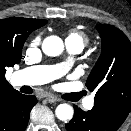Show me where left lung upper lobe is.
Instances as JSON below:
<instances>
[{
    "label": "left lung upper lobe",
    "instance_id": "5c2ea615",
    "mask_svg": "<svg viewBox=\"0 0 131 131\" xmlns=\"http://www.w3.org/2000/svg\"><path fill=\"white\" fill-rule=\"evenodd\" d=\"M96 27L102 39L101 55L86 85L97 89L94 108L120 127L131 111V43L114 26Z\"/></svg>",
    "mask_w": 131,
    "mask_h": 131
}]
</instances>
